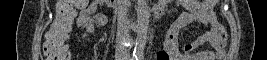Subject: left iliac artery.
<instances>
[{"label":"left iliac artery","mask_w":267,"mask_h":60,"mask_svg":"<svg viewBox=\"0 0 267 60\" xmlns=\"http://www.w3.org/2000/svg\"><path fill=\"white\" fill-rule=\"evenodd\" d=\"M136 60H144V55H143V53L142 54H139L138 56H137V59Z\"/></svg>","instance_id":"obj_1"}]
</instances>
